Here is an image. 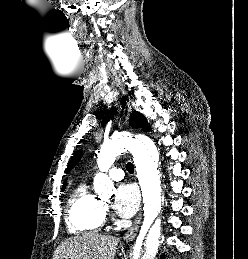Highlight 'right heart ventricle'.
<instances>
[{
  "mask_svg": "<svg viewBox=\"0 0 248 259\" xmlns=\"http://www.w3.org/2000/svg\"><path fill=\"white\" fill-rule=\"evenodd\" d=\"M105 219L103 203L88 190L85 182L71 194L67 205L66 223L72 233H96Z\"/></svg>",
  "mask_w": 248,
  "mask_h": 259,
  "instance_id": "1",
  "label": "right heart ventricle"
}]
</instances>
